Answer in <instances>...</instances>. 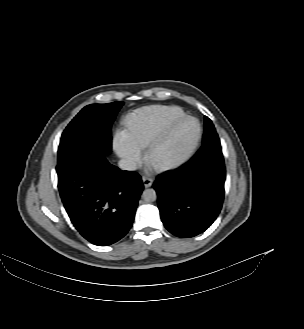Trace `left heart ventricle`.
Returning <instances> with one entry per match:
<instances>
[{"instance_id":"left-heart-ventricle-1","label":"left heart ventricle","mask_w":304,"mask_h":329,"mask_svg":"<svg viewBox=\"0 0 304 329\" xmlns=\"http://www.w3.org/2000/svg\"><path fill=\"white\" fill-rule=\"evenodd\" d=\"M197 134V124L193 120H185L174 130L170 139L154 153L156 162H168L182 156L192 145Z\"/></svg>"}]
</instances>
